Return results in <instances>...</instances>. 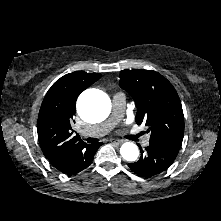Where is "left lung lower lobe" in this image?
Returning a JSON list of instances; mask_svg holds the SVG:
<instances>
[{"instance_id":"obj_1","label":"left lung lower lobe","mask_w":221,"mask_h":221,"mask_svg":"<svg viewBox=\"0 0 221 221\" xmlns=\"http://www.w3.org/2000/svg\"><path fill=\"white\" fill-rule=\"evenodd\" d=\"M178 147L163 142L150 141L145 152L141 150V157L138 162L130 163L128 166L141 177H152L164 172L174 162Z\"/></svg>"}]
</instances>
